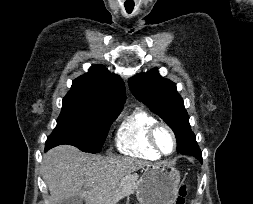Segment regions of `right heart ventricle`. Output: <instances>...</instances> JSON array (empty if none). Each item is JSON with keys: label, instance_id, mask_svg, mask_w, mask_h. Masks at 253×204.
<instances>
[{"label": "right heart ventricle", "instance_id": "obj_1", "mask_svg": "<svg viewBox=\"0 0 253 204\" xmlns=\"http://www.w3.org/2000/svg\"><path fill=\"white\" fill-rule=\"evenodd\" d=\"M156 119L143 109H135L121 123L117 131L116 146L124 154L158 160L161 156L150 146L148 130Z\"/></svg>", "mask_w": 253, "mask_h": 204}]
</instances>
